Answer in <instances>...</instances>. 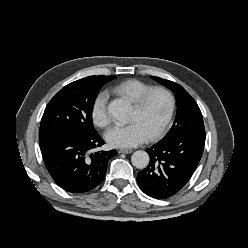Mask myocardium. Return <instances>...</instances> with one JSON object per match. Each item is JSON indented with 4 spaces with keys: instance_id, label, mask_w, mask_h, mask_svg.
I'll return each mask as SVG.
<instances>
[{
    "instance_id": "1",
    "label": "myocardium",
    "mask_w": 248,
    "mask_h": 248,
    "mask_svg": "<svg viewBox=\"0 0 248 248\" xmlns=\"http://www.w3.org/2000/svg\"><path fill=\"white\" fill-rule=\"evenodd\" d=\"M155 93H162L166 96L168 100V112L160 126L152 134L149 135V138L152 140L158 138L166 131L173 120L176 110V101L173 93L169 89L162 86L152 87L147 90L134 102V107L138 110H142L146 106L150 97Z\"/></svg>"
}]
</instances>
